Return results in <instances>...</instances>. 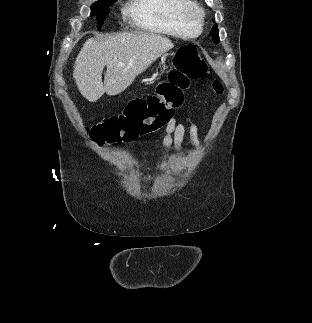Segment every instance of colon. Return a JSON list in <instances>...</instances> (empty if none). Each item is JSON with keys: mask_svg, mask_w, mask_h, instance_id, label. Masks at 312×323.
<instances>
[{"mask_svg": "<svg viewBox=\"0 0 312 323\" xmlns=\"http://www.w3.org/2000/svg\"><path fill=\"white\" fill-rule=\"evenodd\" d=\"M172 64L167 80L157 86L156 95L134 99L124 114L94 125L90 130L91 141L97 145L127 143L172 121L174 111L185 100L184 91L189 88L191 80L201 78L207 70L206 62L193 45L179 47ZM211 86L217 93L223 90L219 81H214Z\"/></svg>", "mask_w": 312, "mask_h": 323, "instance_id": "1", "label": "colon"}]
</instances>
